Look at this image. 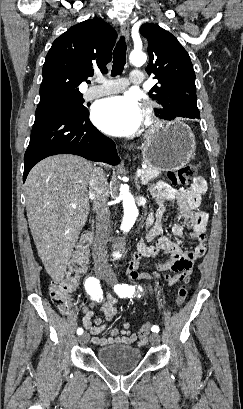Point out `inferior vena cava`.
Segmentation results:
<instances>
[{"instance_id": "inferior-vena-cava-1", "label": "inferior vena cava", "mask_w": 243, "mask_h": 409, "mask_svg": "<svg viewBox=\"0 0 243 409\" xmlns=\"http://www.w3.org/2000/svg\"><path fill=\"white\" fill-rule=\"evenodd\" d=\"M108 182L100 169H94L89 181V196L93 199V210L96 213V237L92 254L96 268L108 270L106 244L109 238L110 211L108 206Z\"/></svg>"}]
</instances>
